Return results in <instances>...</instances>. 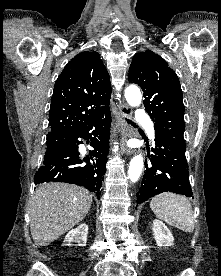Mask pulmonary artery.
Returning a JSON list of instances; mask_svg holds the SVG:
<instances>
[{
    "mask_svg": "<svg viewBox=\"0 0 221 276\" xmlns=\"http://www.w3.org/2000/svg\"><path fill=\"white\" fill-rule=\"evenodd\" d=\"M136 118H137L138 121H141V122H146L147 119H148L147 115L142 110L137 111ZM147 131H148V134H149L150 138L153 139L155 135H154V128H153V125L151 123H147Z\"/></svg>",
    "mask_w": 221,
    "mask_h": 276,
    "instance_id": "1",
    "label": "pulmonary artery"
}]
</instances>
